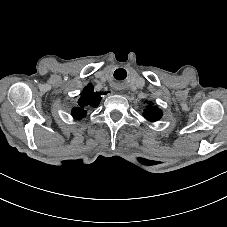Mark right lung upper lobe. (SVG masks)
Listing matches in <instances>:
<instances>
[{
    "label": "right lung upper lobe",
    "instance_id": "1",
    "mask_svg": "<svg viewBox=\"0 0 227 227\" xmlns=\"http://www.w3.org/2000/svg\"><path fill=\"white\" fill-rule=\"evenodd\" d=\"M105 93H96L94 92V88L92 85H88L84 88L83 92L81 93V97L78 100V105L72 109V116L75 119H82L86 114L90 106L97 107L101 96Z\"/></svg>",
    "mask_w": 227,
    "mask_h": 227
}]
</instances>
